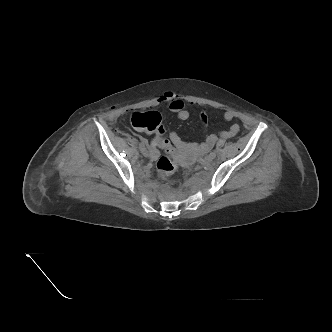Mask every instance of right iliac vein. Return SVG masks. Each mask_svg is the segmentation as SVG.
Wrapping results in <instances>:
<instances>
[{
    "label": "right iliac vein",
    "instance_id": "63e3f726",
    "mask_svg": "<svg viewBox=\"0 0 332 332\" xmlns=\"http://www.w3.org/2000/svg\"><path fill=\"white\" fill-rule=\"evenodd\" d=\"M139 150H140L142 153H144L145 150H146L145 145L142 144V143H140V144H139Z\"/></svg>",
    "mask_w": 332,
    "mask_h": 332
}]
</instances>
